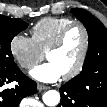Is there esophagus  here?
I'll list each match as a JSON object with an SVG mask.
<instances>
[{"label":"esophagus","instance_id":"obj_1","mask_svg":"<svg viewBox=\"0 0 107 107\" xmlns=\"http://www.w3.org/2000/svg\"><path fill=\"white\" fill-rule=\"evenodd\" d=\"M49 87L43 84H38L37 85V90L40 92L42 90H47Z\"/></svg>","mask_w":107,"mask_h":107}]
</instances>
